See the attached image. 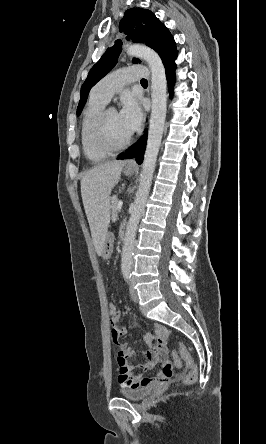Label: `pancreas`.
<instances>
[{"instance_id": "cf45deb5", "label": "pancreas", "mask_w": 266, "mask_h": 444, "mask_svg": "<svg viewBox=\"0 0 266 444\" xmlns=\"http://www.w3.org/2000/svg\"><path fill=\"white\" fill-rule=\"evenodd\" d=\"M118 202L119 201H118L117 197L114 196L111 198L110 208H111V214H112L113 219H115L118 215V208H117Z\"/></svg>"}]
</instances>
